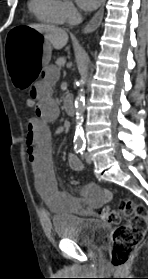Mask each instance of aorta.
<instances>
[{
    "mask_svg": "<svg viewBox=\"0 0 148 279\" xmlns=\"http://www.w3.org/2000/svg\"><path fill=\"white\" fill-rule=\"evenodd\" d=\"M88 67L85 66L82 69L81 75L82 77L87 72ZM83 89H81V93L78 94V96L75 99V111H76V131H75V142L78 146L84 145V135H83V113H84V105H85V99L82 95Z\"/></svg>",
    "mask_w": 148,
    "mask_h": 279,
    "instance_id": "762f6f07",
    "label": "aorta"
}]
</instances>
